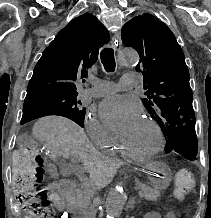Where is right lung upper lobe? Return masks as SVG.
Here are the masks:
<instances>
[{
  "mask_svg": "<svg viewBox=\"0 0 211 218\" xmlns=\"http://www.w3.org/2000/svg\"><path fill=\"white\" fill-rule=\"evenodd\" d=\"M109 42L105 26L92 14L74 18L44 50L27 87L25 102L64 94H78L76 80L98 58L99 49Z\"/></svg>",
  "mask_w": 211,
  "mask_h": 218,
  "instance_id": "right-lung-upper-lobe-1",
  "label": "right lung upper lobe"
}]
</instances>
